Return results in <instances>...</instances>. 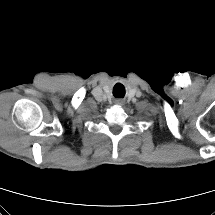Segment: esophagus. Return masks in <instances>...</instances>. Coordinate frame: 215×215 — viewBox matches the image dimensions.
<instances>
[{
  "instance_id": "obj_1",
  "label": "esophagus",
  "mask_w": 215,
  "mask_h": 215,
  "mask_svg": "<svg viewBox=\"0 0 215 215\" xmlns=\"http://www.w3.org/2000/svg\"><path fill=\"white\" fill-rule=\"evenodd\" d=\"M117 103H118V104H121V102H120V101H118Z\"/></svg>"
}]
</instances>
